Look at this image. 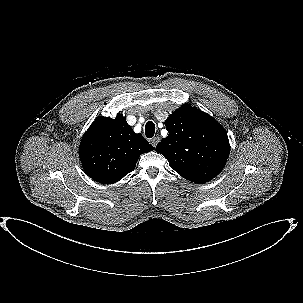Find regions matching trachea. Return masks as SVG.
Wrapping results in <instances>:
<instances>
[{
  "instance_id": "obj_1",
  "label": "trachea",
  "mask_w": 303,
  "mask_h": 303,
  "mask_svg": "<svg viewBox=\"0 0 303 303\" xmlns=\"http://www.w3.org/2000/svg\"><path fill=\"white\" fill-rule=\"evenodd\" d=\"M145 134L147 138H152L155 134V124L152 121H148L145 125Z\"/></svg>"
}]
</instances>
